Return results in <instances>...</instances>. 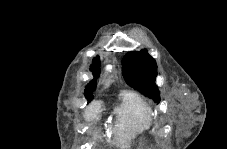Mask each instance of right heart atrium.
<instances>
[{
	"instance_id": "1",
	"label": "right heart atrium",
	"mask_w": 227,
	"mask_h": 149,
	"mask_svg": "<svg viewBox=\"0 0 227 149\" xmlns=\"http://www.w3.org/2000/svg\"><path fill=\"white\" fill-rule=\"evenodd\" d=\"M94 112H95V109H90V110L88 111V113H87V117H88L89 119H92L93 116H94Z\"/></svg>"
}]
</instances>
